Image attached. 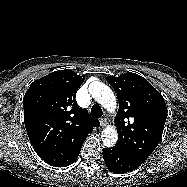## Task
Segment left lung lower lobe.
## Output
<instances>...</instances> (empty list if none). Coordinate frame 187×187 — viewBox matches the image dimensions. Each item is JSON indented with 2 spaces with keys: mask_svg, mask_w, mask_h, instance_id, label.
<instances>
[{
  "mask_svg": "<svg viewBox=\"0 0 187 187\" xmlns=\"http://www.w3.org/2000/svg\"><path fill=\"white\" fill-rule=\"evenodd\" d=\"M103 156L108 169L115 174L133 171L145 162V160L134 157L117 146L104 148Z\"/></svg>",
  "mask_w": 187,
  "mask_h": 187,
  "instance_id": "0a47b994",
  "label": "left lung lower lobe"
}]
</instances>
